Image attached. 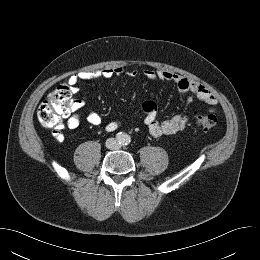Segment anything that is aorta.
I'll list each match as a JSON object with an SVG mask.
<instances>
[{
	"label": "aorta",
	"instance_id": "obj_1",
	"mask_svg": "<svg viewBox=\"0 0 260 260\" xmlns=\"http://www.w3.org/2000/svg\"><path fill=\"white\" fill-rule=\"evenodd\" d=\"M122 136H123V138H124V142H125L127 136H126V135H122Z\"/></svg>",
	"mask_w": 260,
	"mask_h": 260
}]
</instances>
